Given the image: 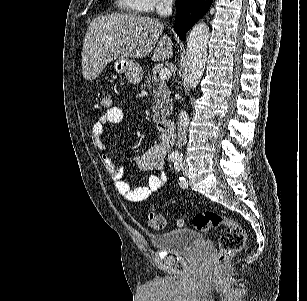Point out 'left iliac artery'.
Here are the masks:
<instances>
[{"instance_id": "1", "label": "left iliac artery", "mask_w": 307, "mask_h": 301, "mask_svg": "<svg viewBox=\"0 0 307 301\" xmlns=\"http://www.w3.org/2000/svg\"><path fill=\"white\" fill-rule=\"evenodd\" d=\"M182 167V160L178 159L174 162V169L179 172ZM179 184L183 186H187V182L184 177H179Z\"/></svg>"}]
</instances>
